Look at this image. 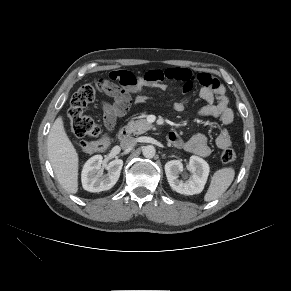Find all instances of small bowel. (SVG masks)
I'll return each mask as SVG.
<instances>
[{"instance_id": "1", "label": "small bowel", "mask_w": 291, "mask_h": 291, "mask_svg": "<svg viewBox=\"0 0 291 291\" xmlns=\"http://www.w3.org/2000/svg\"><path fill=\"white\" fill-rule=\"evenodd\" d=\"M110 80H118L122 87L112 84L106 92L113 99V103L103 105L104 122L107 127H113L117 118L124 116L132 103V95L135 96V104H142L147 100L146 89L165 90V81H177L183 84V92L189 94L195 82L201 84L199 98L205 101V105L197 110L201 117H213L218 119L221 129L216 137V144L224 149L231 145V135L228 126L233 122L234 113L229 105L225 87L211 74H193L187 68L153 69L143 76L136 77L129 71H113ZM187 100L177 101L173 104L174 110L181 112L186 107ZM168 140L176 147L190 153L207 156L210 153L207 137L198 133L188 140H183L176 132H170Z\"/></svg>"}]
</instances>
